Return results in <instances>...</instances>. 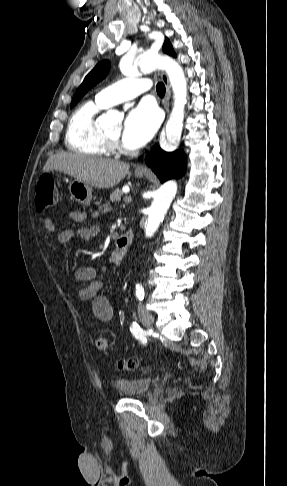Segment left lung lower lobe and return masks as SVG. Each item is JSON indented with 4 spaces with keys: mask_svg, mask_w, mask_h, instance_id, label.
<instances>
[{
    "mask_svg": "<svg viewBox=\"0 0 287 486\" xmlns=\"http://www.w3.org/2000/svg\"><path fill=\"white\" fill-rule=\"evenodd\" d=\"M145 161L162 183L171 178L181 177L185 173L187 164L183 151L167 153L158 145L154 146L146 155Z\"/></svg>",
    "mask_w": 287,
    "mask_h": 486,
    "instance_id": "1",
    "label": "left lung lower lobe"
}]
</instances>
